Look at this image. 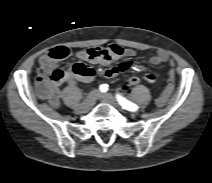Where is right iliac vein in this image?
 Instances as JSON below:
<instances>
[{"instance_id": "1", "label": "right iliac vein", "mask_w": 212, "mask_h": 183, "mask_svg": "<svg viewBox=\"0 0 212 183\" xmlns=\"http://www.w3.org/2000/svg\"><path fill=\"white\" fill-rule=\"evenodd\" d=\"M99 96V92L97 90H94L88 94V96L85 98V100L78 105L76 108L77 112H88L93 105L95 104L96 99Z\"/></svg>"}]
</instances>
